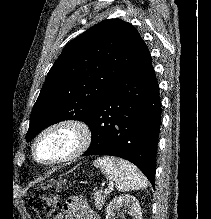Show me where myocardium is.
<instances>
[{
    "label": "myocardium",
    "mask_w": 211,
    "mask_h": 219,
    "mask_svg": "<svg viewBox=\"0 0 211 219\" xmlns=\"http://www.w3.org/2000/svg\"><path fill=\"white\" fill-rule=\"evenodd\" d=\"M64 130L72 132L75 136L74 144L69 152L52 160L39 159L37 156V147L41 140L50 133ZM91 143L92 130L86 122L77 118H63L48 124L37 133L31 143L30 153L32 160L36 164L51 167L66 164L78 159L89 149Z\"/></svg>",
    "instance_id": "1"
}]
</instances>
